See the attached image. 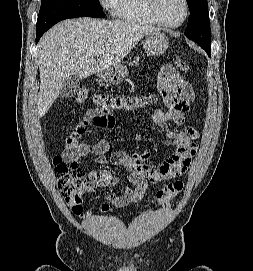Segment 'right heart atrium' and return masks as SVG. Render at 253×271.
Listing matches in <instances>:
<instances>
[{
    "instance_id": "obj_1",
    "label": "right heart atrium",
    "mask_w": 253,
    "mask_h": 271,
    "mask_svg": "<svg viewBox=\"0 0 253 271\" xmlns=\"http://www.w3.org/2000/svg\"><path fill=\"white\" fill-rule=\"evenodd\" d=\"M117 0H100V2L102 3V5L106 8V9H113L115 3Z\"/></svg>"
}]
</instances>
